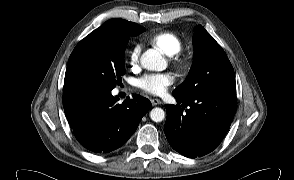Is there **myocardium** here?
<instances>
[{
    "instance_id": "myocardium-1",
    "label": "myocardium",
    "mask_w": 294,
    "mask_h": 180,
    "mask_svg": "<svg viewBox=\"0 0 294 180\" xmlns=\"http://www.w3.org/2000/svg\"><path fill=\"white\" fill-rule=\"evenodd\" d=\"M175 59H176V64H177V66H178L179 68H183L184 62L182 61V59L179 58V56H176Z\"/></svg>"
}]
</instances>
